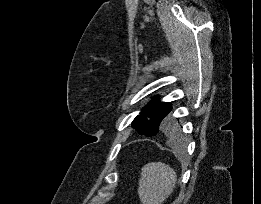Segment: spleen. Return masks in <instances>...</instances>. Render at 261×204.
Here are the masks:
<instances>
[{
    "instance_id": "obj_1",
    "label": "spleen",
    "mask_w": 261,
    "mask_h": 204,
    "mask_svg": "<svg viewBox=\"0 0 261 204\" xmlns=\"http://www.w3.org/2000/svg\"><path fill=\"white\" fill-rule=\"evenodd\" d=\"M176 179V172L165 163L151 162L144 165L138 187L141 202L162 204L173 192Z\"/></svg>"
}]
</instances>
